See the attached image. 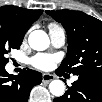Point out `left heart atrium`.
I'll return each instance as SVG.
<instances>
[{"label":"left heart atrium","mask_w":102,"mask_h":102,"mask_svg":"<svg viewBox=\"0 0 102 102\" xmlns=\"http://www.w3.org/2000/svg\"><path fill=\"white\" fill-rule=\"evenodd\" d=\"M56 58L51 55H38L32 59V64L40 70H48L54 64Z\"/></svg>","instance_id":"1"}]
</instances>
